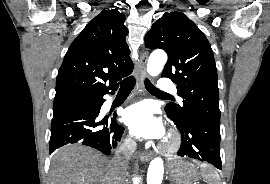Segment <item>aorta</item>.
<instances>
[{
	"instance_id": "762f6f07",
	"label": "aorta",
	"mask_w": 270,
	"mask_h": 184,
	"mask_svg": "<svg viewBox=\"0 0 270 184\" xmlns=\"http://www.w3.org/2000/svg\"><path fill=\"white\" fill-rule=\"evenodd\" d=\"M167 61V55L164 51H154L147 63V72L151 76H157L161 73L165 63ZM164 174V164L160 157L154 158L148 167L147 184H161Z\"/></svg>"
}]
</instances>
